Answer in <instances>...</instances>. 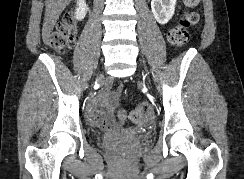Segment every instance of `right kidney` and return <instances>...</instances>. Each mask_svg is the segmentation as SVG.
I'll return each instance as SVG.
<instances>
[{
	"instance_id": "1",
	"label": "right kidney",
	"mask_w": 244,
	"mask_h": 179,
	"mask_svg": "<svg viewBox=\"0 0 244 179\" xmlns=\"http://www.w3.org/2000/svg\"><path fill=\"white\" fill-rule=\"evenodd\" d=\"M77 4V8H76V12H74V18L75 20H84L85 16H86V10H87V6H86V2L85 0H77L76 2Z\"/></svg>"
}]
</instances>
